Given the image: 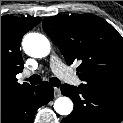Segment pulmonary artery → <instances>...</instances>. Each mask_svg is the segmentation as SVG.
<instances>
[{"label":"pulmonary artery","instance_id":"obj_1","mask_svg":"<svg viewBox=\"0 0 123 123\" xmlns=\"http://www.w3.org/2000/svg\"><path fill=\"white\" fill-rule=\"evenodd\" d=\"M49 62L52 71L59 78L71 84H78V78L66 67L58 56L51 55ZM25 75H29V72H25Z\"/></svg>","mask_w":123,"mask_h":123}]
</instances>
